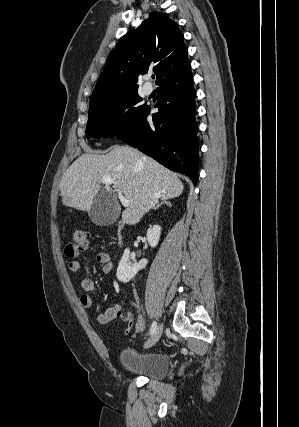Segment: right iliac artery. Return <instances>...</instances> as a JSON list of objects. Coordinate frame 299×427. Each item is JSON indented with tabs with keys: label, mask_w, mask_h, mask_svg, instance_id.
Wrapping results in <instances>:
<instances>
[{
	"label": "right iliac artery",
	"mask_w": 299,
	"mask_h": 427,
	"mask_svg": "<svg viewBox=\"0 0 299 427\" xmlns=\"http://www.w3.org/2000/svg\"><path fill=\"white\" fill-rule=\"evenodd\" d=\"M157 329V323L154 321L150 327V335H152Z\"/></svg>",
	"instance_id": "right-iliac-artery-1"
}]
</instances>
